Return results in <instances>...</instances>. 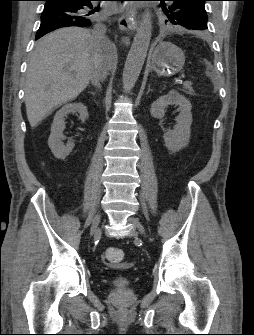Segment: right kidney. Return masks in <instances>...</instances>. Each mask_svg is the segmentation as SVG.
<instances>
[{"label":"right kidney","mask_w":254,"mask_h":335,"mask_svg":"<svg viewBox=\"0 0 254 335\" xmlns=\"http://www.w3.org/2000/svg\"><path fill=\"white\" fill-rule=\"evenodd\" d=\"M69 113H79L82 122L88 119L87 107L82 103H70L64 105L54 116L51 125V133L48 139V146L57 159H65L74 148V142L68 141L64 145L61 141L65 129V117Z\"/></svg>","instance_id":"right-kidney-1"}]
</instances>
